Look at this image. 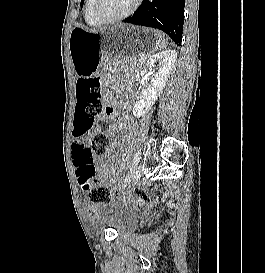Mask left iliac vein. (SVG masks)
<instances>
[{
    "mask_svg": "<svg viewBox=\"0 0 265 273\" xmlns=\"http://www.w3.org/2000/svg\"><path fill=\"white\" fill-rule=\"evenodd\" d=\"M142 167L140 165H138L132 175V185H136V183L140 180V178L142 177Z\"/></svg>",
    "mask_w": 265,
    "mask_h": 273,
    "instance_id": "4c4485c4",
    "label": "left iliac vein"
}]
</instances>
